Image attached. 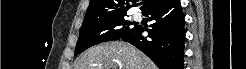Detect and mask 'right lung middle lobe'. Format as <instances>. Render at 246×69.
<instances>
[{"instance_id":"dd1d6c3e","label":"right lung middle lobe","mask_w":246,"mask_h":69,"mask_svg":"<svg viewBox=\"0 0 246 69\" xmlns=\"http://www.w3.org/2000/svg\"><path fill=\"white\" fill-rule=\"evenodd\" d=\"M124 15H113L100 20H85L80 29L75 48V56L87 48L102 42L120 39L126 32L136 27L125 20Z\"/></svg>"}]
</instances>
